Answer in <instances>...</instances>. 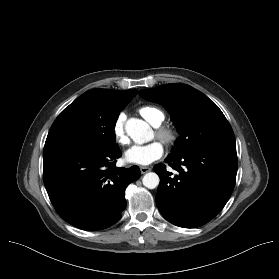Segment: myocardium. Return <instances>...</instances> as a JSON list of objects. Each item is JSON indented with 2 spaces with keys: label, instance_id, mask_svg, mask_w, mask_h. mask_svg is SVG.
<instances>
[{
  "label": "myocardium",
  "instance_id": "f54148a6",
  "mask_svg": "<svg viewBox=\"0 0 279 279\" xmlns=\"http://www.w3.org/2000/svg\"><path fill=\"white\" fill-rule=\"evenodd\" d=\"M156 136L167 145H172L177 139L175 130L167 126H159Z\"/></svg>",
  "mask_w": 279,
  "mask_h": 279
}]
</instances>
